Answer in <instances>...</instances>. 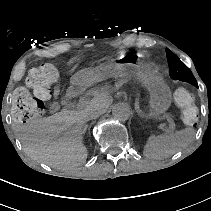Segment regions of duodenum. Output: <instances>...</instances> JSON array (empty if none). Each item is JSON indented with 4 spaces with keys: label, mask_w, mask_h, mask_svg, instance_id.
Returning <instances> with one entry per match:
<instances>
[{
    "label": "duodenum",
    "mask_w": 211,
    "mask_h": 211,
    "mask_svg": "<svg viewBox=\"0 0 211 211\" xmlns=\"http://www.w3.org/2000/svg\"><path fill=\"white\" fill-rule=\"evenodd\" d=\"M82 89L83 85L81 82L79 81L73 82L67 90L63 103L68 104L71 100L76 98L82 92Z\"/></svg>",
    "instance_id": "obj_1"
}]
</instances>
